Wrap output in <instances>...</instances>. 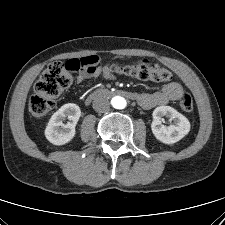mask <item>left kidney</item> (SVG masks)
I'll use <instances>...</instances> for the list:
<instances>
[{
    "label": "left kidney",
    "mask_w": 225,
    "mask_h": 225,
    "mask_svg": "<svg viewBox=\"0 0 225 225\" xmlns=\"http://www.w3.org/2000/svg\"><path fill=\"white\" fill-rule=\"evenodd\" d=\"M174 121L169 126L162 125L163 117ZM151 129L157 140L165 144H173L181 140L190 131L189 120L170 106H160L153 111Z\"/></svg>",
    "instance_id": "left-kidney-1"
}]
</instances>
